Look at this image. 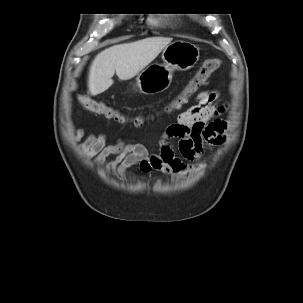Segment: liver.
<instances>
[{"label": "liver", "instance_id": "obj_1", "mask_svg": "<svg viewBox=\"0 0 303 303\" xmlns=\"http://www.w3.org/2000/svg\"><path fill=\"white\" fill-rule=\"evenodd\" d=\"M172 41L168 37H150L109 47L92 61L88 75V89L92 96L106 91L113 83V75L120 80L135 77L149 65Z\"/></svg>", "mask_w": 303, "mask_h": 303}]
</instances>
